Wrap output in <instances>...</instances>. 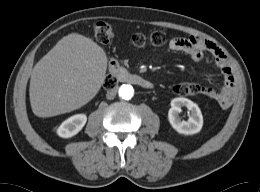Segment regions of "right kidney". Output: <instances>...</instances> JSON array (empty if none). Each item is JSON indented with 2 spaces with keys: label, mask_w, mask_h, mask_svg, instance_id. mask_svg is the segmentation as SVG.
Segmentation results:
<instances>
[{
  "label": "right kidney",
  "mask_w": 260,
  "mask_h": 192,
  "mask_svg": "<svg viewBox=\"0 0 260 192\" xmlns=\"http://www.w3.org/2000/svg\"><path fill=\"white\" fill-rule=\"evenodd\" d=\"M87 122L85 114H76L66 119L57 129V134L62 138L76 135Z\"/></svg>",
  "instance_id": "1"
}]
</instances>
